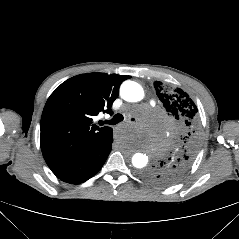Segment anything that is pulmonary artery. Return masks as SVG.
I'll use <instances>...</instances> for the list:
<instances>
[{"instance_id":"1","label":"pulmonary artery","mask_w":239,"mask_h":239,"mask_svg":"<svg viewBox=\"0 0 239 239\" xmlns=\"http://www.w3.org/2000/svg\"><path fill=\"white\" fill-rule=\"evenodd\" d=\"M151 105H154V101H151Z\"/></svg>"}]
</instances>
